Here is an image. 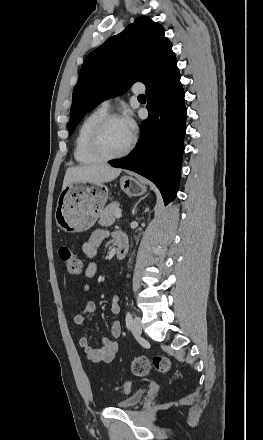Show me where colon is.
<instances>
[{
	"label": "colon",
	"instance_id": "1",
	"mask_svg": "<svg viewBox=\"0 0 263 440\" xmlns=\"http://www.w3.org/2000/svg\"><path fill=\"white\" fill-rule=\"evenodd\" d=\"M59 257L69 273L80 275L84 272L83 263L76 256L72 248L61 246L59 248ZM152 367L160 372H166L170 369V361L164 355H156L152 359L146 356H139L132 363V371L138 376L145 375ZM131 388L132 383L130 381L124 382L119 387L124 393H129Z\"/></svg>",
	"mask_w": 263,
	"mask_h": 440
}]
</instances>
